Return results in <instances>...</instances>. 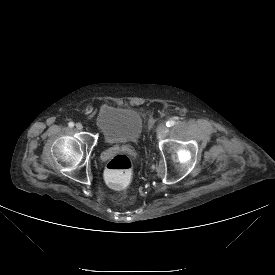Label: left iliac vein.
Masks as SVG:
<instances>
[{
	"mask_svg": "<svg viewBox=\"0 0 275 275\" xmlns=\"http://www.w3.org/2000/svg\"><path fill=\"white\" fill-rule=\"evenodd\" d=\"M168 133V127L165 124H160L157 127L156 134L159 139L164 138Z\"/></svg>",
	"mask_w": 275,
	"mask_h": 275,
	"instance_id": "left-iliac-vein-1",
	"label": "left iliac vein"
}]
</instances>
